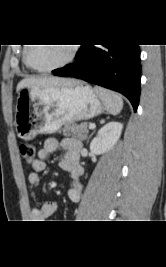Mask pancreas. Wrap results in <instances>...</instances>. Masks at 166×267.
<instances>
[{
    "mask_svg": "<svg viewBox=\"0 0 166 267\" xmlns=\"http://www.w3.org/2000/svg\"><path fill=\"white\" fill-rule=\"evenodd\" d=\"M89 123L83 122L80 124H66V126L61 129L64 136H72L79 138L80 140H85L88 136L89 129H88Z\"/></svg>",
    "mask_w": 166,
    "mask_h": 267,
    "instance_id": "1",
    "label": "pancreas"
}]
</instances>
